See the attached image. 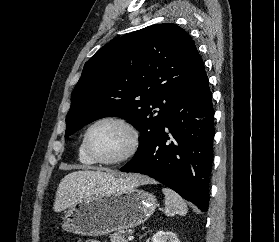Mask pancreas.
<instances>
[{
	"instance_id": "obj_1",
	"label": "pancreas",
	"mask_w": 279,
	"mask_h": 242,
	"mask_svg": "<svg viewBox=\"0 0 279 242\" xmlns=\"http://www.w3.org/2000/svg\"><path fill=\"white\" fill-rule=\"evenodd\" d=\"M129 233H130L129 231L115 232L110 235V241L111 242H128L125 235H127Z\"/></svg>"
}]
</instances>
